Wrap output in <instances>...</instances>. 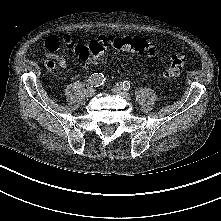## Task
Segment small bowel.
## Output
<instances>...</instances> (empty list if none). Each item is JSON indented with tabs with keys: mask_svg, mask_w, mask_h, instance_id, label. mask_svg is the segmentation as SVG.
<instances>
[{
	"mask_svg": "<svg viewBox=\"0 0 221 221\" xmlns=\"http://www.w3.org/2000/svg\"><path fill=\"white\" fill-rule=\"evenodd\" d=\"M63 41L68 49L73 51L75 54H77L80 57V51L85 48L86 46L82 43L76 42L70 37H64ZM45 57L46 61L44 63L45 67L48 70L55 69L56 66H59L61 68L67 67V60L65 57L59 55L56 53V51L59 49L60 41L55 36H50L45 40ZM147 54L150 58L154 57L156 55V49L155 46L152 43H148V49Z\"/></svg>",
	"mask_w": 221,
	"mask_h": 221,
	"instance_id": "c3829d8e",
	"label": "small bowel"
}]
</instances>
